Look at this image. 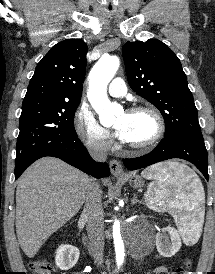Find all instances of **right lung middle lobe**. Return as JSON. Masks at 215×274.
I'll use <instances>...</instances> for the list:
<instances>
[{"instance_id": "dd1d6c3e", "label": "right lung middle lobe", "mask_w": 215, "mask_h": 274, "mask_svg": "<svg viewBox=\"0 0 215 274\" xmlns=\"http://www.w3.org/2000/svg\"><path fill=\"white\" fill-rule=\"evenodd\" d=\"M78 105L56 100L23 103L15 167L47 147L77 138L73 119Z\"/></svg>"}]
</instances>
